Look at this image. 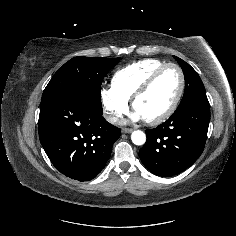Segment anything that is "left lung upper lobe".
I'll list each match as a JSON object with an SVG mask.
<instances>
[{"label": "left lung upper lobe", "instance_id": "obj_1", "mask_svg": "<svg viewBox=\"0 0 236 236\" xmlns=\"http://www.w3.org/2000/svg\"><path fill=\"white\" fill-rule=\"evenodd\" d=\"M185 76V91L178 108L196 99L207 98L203 82L198 73L185 61L174 56Z\"/></svg>", "mask_w": 236, "mask_h": 236}]
</instances>
